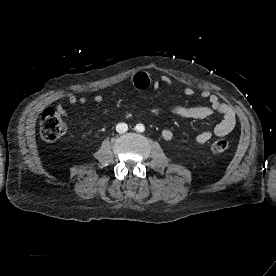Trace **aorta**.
<instances>
[{"mask_svg":"<svg viewBox=\"0 0 276 276\" xmlns=\"http://www.w3.org/2000/svg\"><path fill=\"white\" fill-rule=\"evenodd\" d=\"M135 130H136L137 132H144L145 126H144L143 124L139 123V124H137V125L135 126Z\"/></svg>","mask_w":276,"mask_h":276,"instance_id":"1","label":"aorta"}]
</instances>
